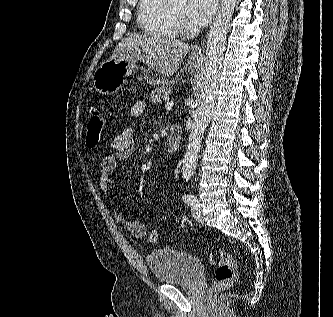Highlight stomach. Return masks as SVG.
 <instances>
[{"instance_id":"stomach-1","label":"stomach","mask_w":333,"mask_h":317,"mask_svg":"<svg viewBox=\"0 0 333 317\" xmlns=\"http://www.w3.org/2000/svg\"><path fill=\"white\" fill-rule=\"evenodd\" d=\"M196 65L193 66L196 67ZM135 69H138L136 62L117 59L106 60L95 71L93 86L104 95L117 93L122 87V78L131 75Z\"/></svg>"}]
</instances>
